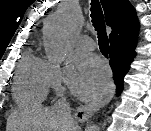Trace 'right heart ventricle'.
Segmentation results:
<instances>
[{"label":"right heart ventricle","instance_id":"e07e8e85","mask_svg":"<svg viewBox=\"0 0 151 131\" xmlns=\"http://www.w3.org/2000/svg\"><path fill=\"white\" fill-rule=\"evenodd\" d=\"M48 63L33 52H26L17 69L13 97L21 106L40 105L48 92Z\"/></svg>","mask_w":151,"mask_h":131}]
</instances>
